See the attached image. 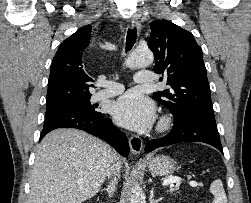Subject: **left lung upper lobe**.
I'll use <instances>...</instances> for the list:
<instances>
[{"mask_svg": "<svg viewBox=\"0 0 251 203\" xmlns=\"http://www.w3.org/2000/svg\"><path fill=\"white\" fill-rule=\"evenodd\" d=\"M150 26L153 71L164 75L169 86L154 97L171 111L174 122L190 116L215 120L202 50L193 35L167 20L153 21Z\"/></svg>", "mask_w": 251, "mask_h": 203, "instance_id": "1", "label": "left lung upper lobe"}]
</instances>
